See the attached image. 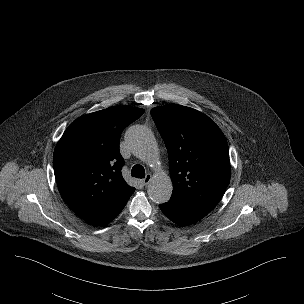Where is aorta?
Listing matches in <instances>:
<instances>
[{"mask_svg":"<svg viewBox=\"0 0 304 304\" xmlns=\"http://www.w3.org/2000/svg\"><path fill=\"white\" fill-rule=\"evenodd\" d=\"M126 141L135 156L149 166L159 162V150L151 131L144 126L129 129ZM172 182L167 173L158 170L148 185V196L155 203L167 202L172 194Z\"/></svg>","mask_w":304,"mask_h":304,"instance_id":"762f6f07","label":"aorta"}]
</instances>
